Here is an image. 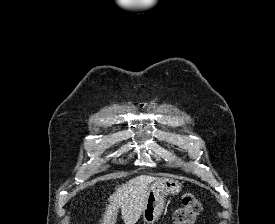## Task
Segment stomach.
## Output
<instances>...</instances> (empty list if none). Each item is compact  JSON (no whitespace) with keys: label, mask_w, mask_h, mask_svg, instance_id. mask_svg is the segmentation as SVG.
I'll return each mask as SVG.
<instances>
[{"label":"stomach","mask_w":275,"mask_h":224,"mask_svg":"<svg viewBox=\"0 0 275 224\" xmlns=\"http://www.w3.org/2000/svg\"><path fill=\"white\" fill-rule=\"evenodd\" d=\"M180 190L181 184L174 178L156 180L149 188L147 203L142 212L144 224H154L164 210L166 196L176 195Z\"/></svg>","instance_id":"stomach-1"}]
</instances>
